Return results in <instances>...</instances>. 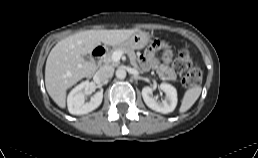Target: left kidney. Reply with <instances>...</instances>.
<instances>
[{"instance_id": "obj_1", "label": "left kidney", "mask_w": 258, "mask_h": 158, "mask_svg": "<svg viewBox=\"0 0 258 158\" xmlns=\"http://www.w3.org/2000/svg\"><path fill=\"white\" fill-rule=\"evenodd\" d=\"M159 88L166 94V97L161 102L153 97V89L144 87L142 89V97L145 104L156 112L167 114L172 112L177 105V91L175 87L168 83H161Z\"/></svg>"}]
</instances>
